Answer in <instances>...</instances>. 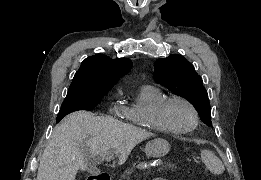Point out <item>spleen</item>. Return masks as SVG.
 Returning a JSON list of instances; mask_svg holds the SVG:
<instances>
[{
	"instance_id": "3e777b00",
	"label": "spleen",
	"mask_w": 261,
	"mask_h": 180,
	"mask_svg": "<svg viewBox=\"0 0 261 180\" xmlns=\"http://www.w3.org/2000/svg\"><path fill=\"white\" fill-rule=\"evenodd\" d=\"M201 158L206 168H208V170H210L212 174H223L225 168L221 160H219L217 156H214L212 152H208V150H203V152H201Z\"/></svg>"
}]
</instances>
